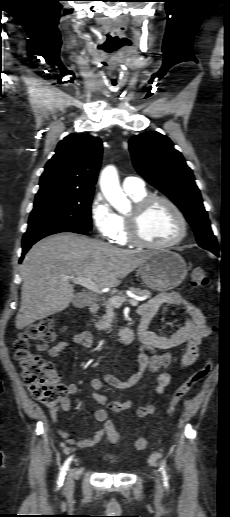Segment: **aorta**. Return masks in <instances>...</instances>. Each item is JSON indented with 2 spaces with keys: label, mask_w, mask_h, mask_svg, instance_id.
I'll use <instances>...</instances> for the list:
<instances>
[{
  "label": "aorta",
  "mask_w": 230,
  "mask_h": 517,
  "mask_svg": "<svg viewBox=\"0 0 230 517\" xmlns=\"http://www.w3.org/2000/svg\"><path fill=\"white\" fill-rule=\"evenodd\" d=\"M100 188L105 198L116 210L123 211L129 205V200L121 189L118 172L114 166H107L101 172Z\"/></svg>",
  "instance_id": "1"
}]
</instances>
